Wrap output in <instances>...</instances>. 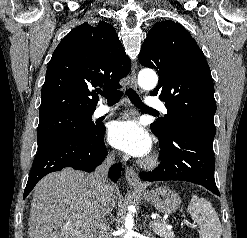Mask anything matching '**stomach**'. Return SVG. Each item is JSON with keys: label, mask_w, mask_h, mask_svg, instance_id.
<instances>
[{"label": "stomach", "mask_w": 247, "mask_h": 238, "mask_svg": "<svg viewBox=\"0 0 247 238\" xmlns=\"http://www.w3.org/2000/svg\"><path fill=\"white\" fill-rule=\"evenodd\" d=\"M140 195L158 211L165 214H172L180 206V196L167 187H157L151 191L141 192Z\"/></svg>", "instance_id": "1"}]
</instances>
